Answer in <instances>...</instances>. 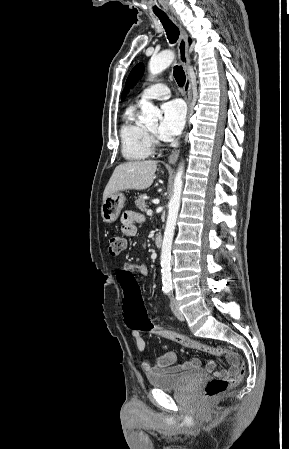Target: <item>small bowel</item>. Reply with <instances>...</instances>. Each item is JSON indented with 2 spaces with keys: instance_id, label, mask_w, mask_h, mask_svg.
<instances>
[{
  "instance_id": "obj_1",
  "label": "small bowel",
  "mask_w": 289,
  "mask_h": 449,
  "mask_svg": "<svg viewBox=\"0 0 289 449\" xmlns=\"http://www.w3.org/2000/svg\"><path fill=\"white\" fill-rule=\"evenodd\" d=\"M122 233L129 239H132L137 234V224L143 222V216L136 211H126L122 215ZM123 268H130L131 271H140L142 274H147L148 270L143 265H134L131 263H126ZM132 336L135 338L136 346L140 352H144L146 349V342L142 338L141 333L132 330ZM182 345V349L188 347L185 343L178 342ZM229 367L227 369H222L216 371L215 373L220 376L229 377L234 375L239 368L240 360L239 357L233 353L228 352L226 357ZM177 356L174 352L169 351L161 355L155 364L151 363L149 360H144L142 362V369L148 374H160V373H174L183 370L196 369L201 366V362L198 358H190L183 363H176ZM205 368L208 371H212L215 368V363L213 361H208L205 364Z\"/></svg>"
}]
</instances>
